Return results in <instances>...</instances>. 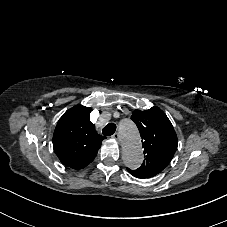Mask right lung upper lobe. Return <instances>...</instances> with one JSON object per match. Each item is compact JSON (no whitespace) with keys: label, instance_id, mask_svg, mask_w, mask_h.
<instances>
[{"label":"right lung upper lobe","instance_id":"obj_1","mask_svg":"<svg viewBox=\"0 0 227 227\" xmlns=\"http://www.w3.org/2000/svg\"><path fill=\"white\" fill-rule=\"evenodd\" d=\"M90 113L91 108L74 106L62 115L56 125L53 148L67 167L79 170L89 165L106 138L95 131Z\"/></svg>","mask_w":227,"mask_h":227}]
</instances>
